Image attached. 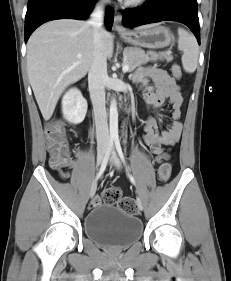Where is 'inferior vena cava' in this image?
Here are the masks:
<instances>
[{
  "label": "inferior vena cava",
  "mask_w": 231,
  "mask_h": 281,
  "mask_svg": "<svg viewBox=\"0 0 231 281\" xmlns=\"http://www.w3.org/2000/svg\"><path fill=\"white\" fill-rule=\"evenodd\" d=\"M104 3H98L90 15L88 23L93 30L94 54L88 73L90 97L93 105L98 147L106 148L109 142L107 114L105 108V84L107 75V60L103 52Z\"/></svg>",
  "instance_id": "inferior-vena-cava-1"
}]
</instances>
